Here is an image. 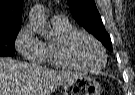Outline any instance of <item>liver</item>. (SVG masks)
Returning a JSON list of instances; mask_svg holds the SVG:
<instances>
[{"mask_svg": "<svg viewBox=\"0 0 135 95\" xmlns=\"http://www.w3.org/2000/svg\"><path fill=\"white\" fill-rule=\"evenodd\" d=\"M79 73L49 70L37 64L0 57V95H50Z\"/></svg>", "mask_w": 135, "mask_h": 95, "instance_id": "1", "label": "liver"}]
</instances>
